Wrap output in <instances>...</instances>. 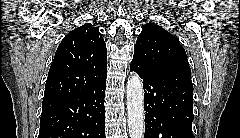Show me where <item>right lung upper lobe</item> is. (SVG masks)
Segmentation results:
<instances>
[{"label": "right lung upper lobe", "mask_w": 240, "mask_h": 138, "mask_svg": "<svg viewBox=\"0 0 240 138\" xmlns=\"http://www.w3.org/2000/svg\"><path fill=\"white\" fill-rule=\"evenodd\" d=\"M106 56V44L95 25L87 23L71 31L55 53L43 103L85 92L96 86L106 78Z\"/></svg>", "instance_id": "1"}]
</instances>
